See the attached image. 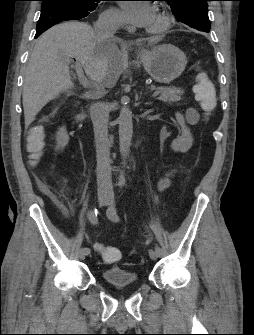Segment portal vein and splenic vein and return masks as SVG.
Masks as SVG:
<instances>
[{
    "label": "portal vein and splenic vein",
    "mask_w": 254,
    "mask_h": 335,
    "mask_svg": "<svg viewBox=\"0 0 254 335\" xmlns=\"http://www.w3.org/2000/svg\"><path fill=\"white\" fill-rule=\"evenodd\" d=\"M74 68L76 70V73H77V76H78V79H79V82L80 84L85 87V88H88L90 86V81L88 80V78L84 75V71H83V67H82V64L78 61L75 62L74 64ZM159 91H155L153 94H152V97L155 98L159 95Z\"/></svg>",
    "instance_id": "1"
}]
</instances>
